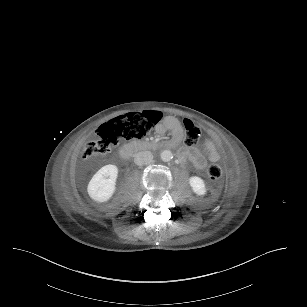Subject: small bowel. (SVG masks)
<instances>
[{
	"label": "small bowel",
	"instance_id": "obj_1",
	"mask_svg": "<svg viewBox=\"0 0 307 307\" xmlns=\"http://www.w3.org/2000/svg\"><path fill=\"white\" fill-rule=\"evenodd\" d=\"M171 132L169 144L172 147H177L183 139V128L176 120H169L165 126ZM178 156L181 160H189L198 169H204L207 165V160L217 162L220 159V154L216 149L214 142L207 139L204 142L203 149L195 147H182L179 149Z\"/></svg>",
	"mask_w": 307,
	"mask_h": 307
}]
</instances>
